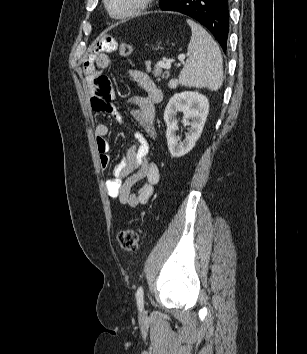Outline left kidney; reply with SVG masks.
I'll use <instances>...</instances> for the list:
<instances>
[{"instance_id": "5707ae66", "label": "left kidney", "mask_w": 307, "mask_h": 354, "mask_svg": "<svg viewBox=\"0 0 307 354\" xmlns=\"http://www.w3.org/2000/svg\"><path fill=\"white\" fill-rule=\"evenodd\" d=\"M178 112H183L184 114L182 123L185 126H190L183 141H179L177 137L176 116ZM208 112V99L198 92L184 91L171 97L165 108L164 121L167 125L168 149L173 157L184 156L192 150L202 133Z\"/></svg>"}]
</instances>
